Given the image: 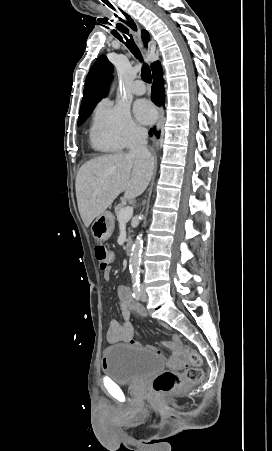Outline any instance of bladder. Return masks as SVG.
Returning <instances> with one entry per match:
<instances>
[{
	"instance_id": "31cf9c89",
	"label": "bladder",
	"mask_w": 272,
	"mask_h": 451,
	"mask_svg": "<svg viewBox=\"0 0 272 451\" xmlns=\"http://www.w3.org/2000/svg\"><path fill=\"white\" fill-rule=\"evenodd\" d=\"M106 368L104 373L112 376L117 384H133L152 377L164 367L163 357L146 355L130 345H112L103 352Z\"/></svg>"
}]
</instances>
